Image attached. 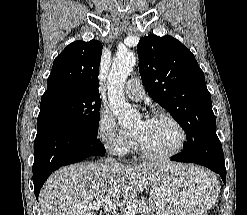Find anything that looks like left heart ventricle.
<instances>
[{
    "instance_id": "obj_1",
    "label": "left heart ventricle",
    "mask_w": 247,
    "mask_h": 215,
    "mask_svg": "<svg viewBox=\"0 0 247 215\" xmlns=\"http://www.w3.org/2000/svg\"><path fill=\"white\" fill-rule=\"evenodd\" d=\"M144 147L153 153L172 151L179 142V133L166 119L139 120L132 129Z\"/></svg>"
}]
</instances>
